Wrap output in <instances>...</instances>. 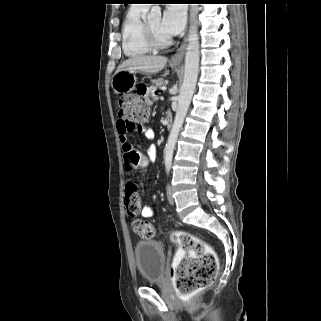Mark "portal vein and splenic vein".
Masks as SVG:
<instances>
[{"mask_svg": "<svg viewBox=\"0 0 321 321\" xmlns=\"http://www.w3.org/2000/svg\"><path fill=\"white\" fill-rule=\"evenodd\" d=\"M161 90H162V91H165V90H166V86H163V87L161 88Z\"/></svg>", "mask_w": 321, "mask_h": 321, "instance_id": "1", "label": "portal vein and splenic vein"}]
</instances>
